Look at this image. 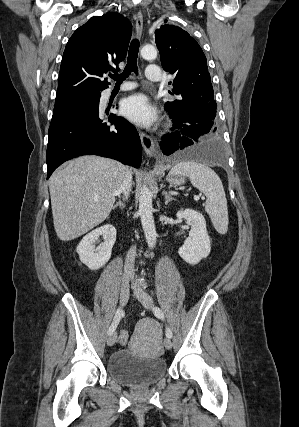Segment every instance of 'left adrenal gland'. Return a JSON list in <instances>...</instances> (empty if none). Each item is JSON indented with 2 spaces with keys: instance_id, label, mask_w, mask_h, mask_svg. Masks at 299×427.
Instances as JSON below:
<instances>
[{
  "instance_id": "left-adrenal-gland-1",
  "label": "left adrenal gland",
  "mask_w": 299,
  "mask_h": 427,
  "mask_svg": "<svg viewBox=\"0 0 299 427\" xmlns=\"http://www.w3.org/2000/svg\"><path fill=\"white\" fill-rule=\"evenodd\" d=\"M163 195L165 196V204L167 205L170 201L175 200L168 192L164 191Z\"/></svg>"
}]
</instances>
